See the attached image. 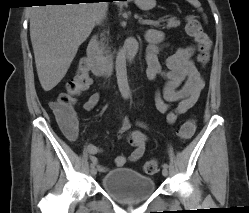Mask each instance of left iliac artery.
I'll use <instances>...</instances> for the list:
<instances>
[{"instance_id": "44dca946", "label": "left iliac artery", "mask_w": 249, "mask_h": 213, "mask_svg": "<svg viewBox=\"0 0 249 213\" xmlns=\"http://www.w3.org/2000/svg\"><path fill=\"white\" fill-rule=\"evenodd\" d=\"M163 167H164V168H168L169 165H168L167 163H165V164L163 165Z\"/></svg>"}]
</instances>
